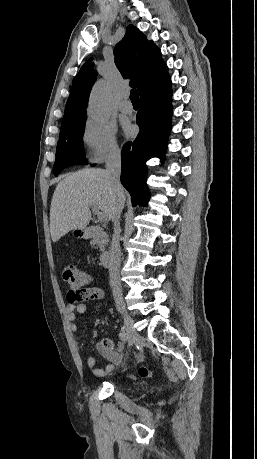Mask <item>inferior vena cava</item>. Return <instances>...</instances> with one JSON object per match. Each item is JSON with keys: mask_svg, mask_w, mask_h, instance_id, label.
I'll return each instance as SVG.
<instances>
[{"mask_svg": "<svg viewBox=\"0 0 257 459\" xmlns=\"http://www.w3.org/2000/svg\"><path fill=\"white\" fill-rule=\"evenodd\" d=\"M106 172L108 175L111 189L114 193V208L111 220L114 223V232L112 236V242L108 254V266H109V277L110 287L115 300L116 305L119 307L122 305V289L120 281V219L121 213L124 208V194L123 188L120 183L121 174V152L116 149L110 152L106 160Z\"/></svg>", "mask_w": 257, "mask_h": 459, "instance_id": "1", "label": "inferior vena cava"}]
</instances>
